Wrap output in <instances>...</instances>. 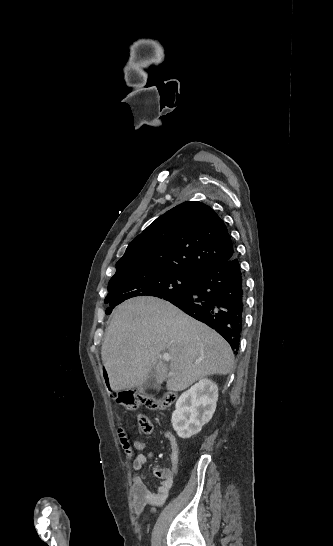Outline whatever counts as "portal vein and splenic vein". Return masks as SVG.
Here are the masks:
<instances>
[{"mask_svg":"<svg viewBox=\"0 0 333 546\" xmlns=\"http://www.w3.org/2000/svg\"><path fill=\"white\" fill-rule=\"evenodd\" d=\"M162 358H163V360H165L166 362H169L170 359H171V356H170L168 353H164V354L162 355Z\"/></svg>","mask_w":333,"mask_h":546,"instance_id":"obj_1","label":"portal vein and splenic vein"}]
</instances>
